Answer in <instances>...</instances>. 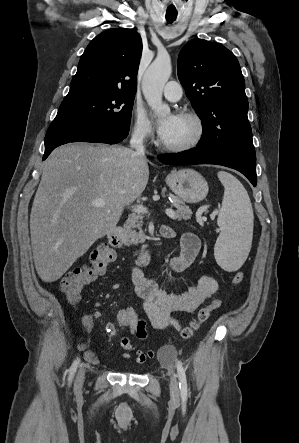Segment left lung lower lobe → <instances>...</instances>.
<instances>
[{
	"mask_svg": "<svg viewBox=\"0 0 299 443\" xmlns=\"http://www.w3.org/2000/svg\"><path fill=\"white\" fill-rule=\"evenodd\" d=\"M158 160L169 165L215 164L235 169L256 186V154L254 150L212 152L194 148L189 151L159 155Z\"/></svg>",
	"mask_w": 299,
	"mask_h": 443,
	"instance_id": "0a47b994",
	"label": "left lung lower lobe"
}]
</instances>
